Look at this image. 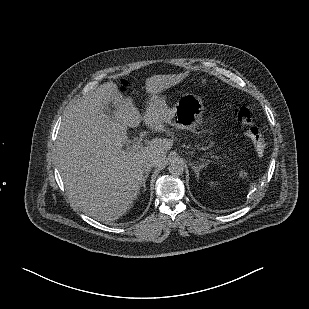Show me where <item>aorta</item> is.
Wrapping results in <instances>:
<instances>
[{
    "label": "aorta",
    "instance_id": "aorta-1",
    "mask_svg": "<svg viewBox=\"0 0 309 309\" xmlns=\"http://www.w3.org/2000/svg\"><path fill=\"white\" fill-rule=\"evenodd\" d=\"M184 169H185L184 161L179 158L174 159L168 167L169 173L174 176L182 175Z\"/></svg>",
    "mask_w": 309,
    "mask_h": 309
}]
</instances>
